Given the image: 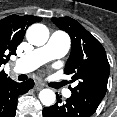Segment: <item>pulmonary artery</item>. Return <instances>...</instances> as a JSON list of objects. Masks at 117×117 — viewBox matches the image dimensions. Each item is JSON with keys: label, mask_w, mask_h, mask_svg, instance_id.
<instances>
[{"label": "pulmonary artery", "mask_w": 117, "mask_h": 117, "mask_svg": "<svg viewBox=\"0 0 117 117\" xmlns=\"http://www.w3.org/2000/svg\"><path fill=\"white\" fill-rule=\"evenodd\" d=\"M69 45V36L62 31H55L44 46L19 58L15 62L14 68L17 72H30L48 61L63 57L67 53ZM64 95L70 97L71 92L66 90Z\"/></svg>", "instance_id": "pulmonary-artery-1"}]
</instances>
